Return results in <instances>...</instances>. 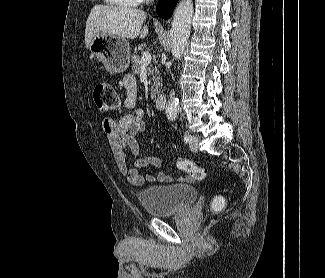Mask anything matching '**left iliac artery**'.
Returning a JSON list of instances; mask_svg holds the SVG:
<instances>
[{
  "label": "left iliac artery",
  "instance_id": "left-iliac-artery-1",
  "mask_svg": "<svg viewBox=\"0 0 325 278\" xmlns=\"http://www.w3.org/2000/svg\"><path fill=\"white\" fill-rule=\"evenodd\" d=\"M184 141H185V142H189V143H191V142L194 141V137H193L192 135H186V136L184 137Z\"/></svg>",
  "mask_w": 325,
  "mask_h": 278
}]
</instances>
